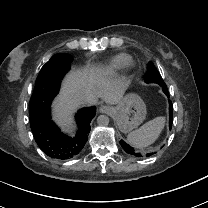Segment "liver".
I'll return each mask as SVG.
<instances>
[{
  "label": "liver",
  "instance_id": "6515ba94",
  "mask_svg": "<svg viewBox=\"0 0 208 208\" xmlns=\"http://www.w3.org/2000/svg\"><path fill=\"white\" fill-rule=\"evenodd\" d=\"M127 86L128 83L114 78L113 73L104 68L73 70L64 79L60 95L53 103V119L63 131L70 132L73 128L71 113L80 105L73 92L84 89L92 96L90 104H96L98 98L108 104H117Z\"/></svg>",
  "mask_w": 208,
  "mask_h": 208
}]
</instances>
